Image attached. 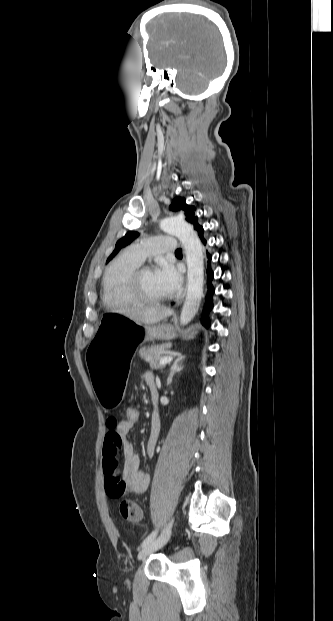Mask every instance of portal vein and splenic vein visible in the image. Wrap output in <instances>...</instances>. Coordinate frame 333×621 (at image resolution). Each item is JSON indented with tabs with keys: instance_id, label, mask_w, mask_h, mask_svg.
Returning <instances> with one entry per match:
<instances>
[{
	"instance_id": "1",
	"label": "portal vein and splenic vein",
	"mask_w": 333,
	"mask_h": 621,
	"mask_svg": "<svg viewBox=\"0 0 333 621\" xmlns=\"http://www.w3.org/2000/svg\"><path fill=\"white\" fill-rule=\"evenodd\" d=\"M173 359H174V357H173V356H166V357H163V358H161V359L159 360L158 365H160V366H161V365L168 364V363L172 362V361H173Z\"/></svg>"
}]
</instances>
